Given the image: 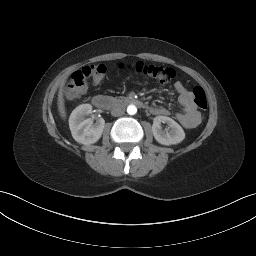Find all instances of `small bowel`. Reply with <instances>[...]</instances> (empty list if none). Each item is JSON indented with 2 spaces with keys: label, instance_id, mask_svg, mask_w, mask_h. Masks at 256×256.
Segmentation results:
<instances>
[{
  "label": "small bowel",
  "instance_id": "small-bowel-1",
  "mask_svg": "<svg viewBox=\"0 0 256 256\" xmlns=\"http://www.w3.org/2000/svg\"><path fill=\"white\" fill-rule=\"evenodd\" d=\"M174 89L178 94V101L183 110L182 113L177 114V120L185 128L196 127L200 122L201 116L194 103L193 93L180 81L174 84ZM151 113L155 115H169V110L161 106H155L151 107Z\"/></svg>",
  "mask_w": 256,
  "mask_h": 256
}]
</instances>
